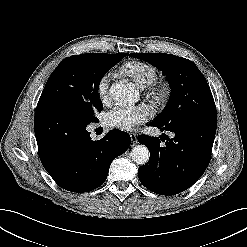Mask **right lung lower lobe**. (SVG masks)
Segmentation results:
<instances>
[{
    "label": "right lung lower lobe",
    "mask_w": 247,
    "mask_h": 247,
    "mask_svg": "<svg viewBox=\"0 0 247 247\" xmlns=\"http://www.w3.org/2000/svg\"><path fill=\"white\" fill-rule=\"evenodd\" d=\"M88 124L51 107L36 109L34 131L41 162L68 191L82 193L103 184L111 162L130 146L129 134L118 129L92 141Z\"/></svg>",
    "instance_id": "right-lung-lower-lobe-1"
}]
</instances>
